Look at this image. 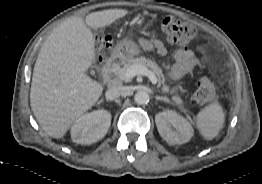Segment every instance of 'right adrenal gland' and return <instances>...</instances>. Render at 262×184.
I'll return each mask as SVG.
<instances>
[{
	"instance_id": "obj_1",
	"label": "right adrenal gland",
	"mask_w": 262,
	"mask_h": 184,
	"mask_svg": "<svg viewBox=\"0 0 262 184\" xmlns=\"http://www.w3.org/2000/svg\"><path fill=\"white\" fill-rule=\"evenodd\" d=\"M104 100L103 99H101L99 102H98V104H100V103H102Z\"/></svg>"
}]
</instances>
